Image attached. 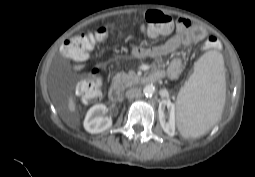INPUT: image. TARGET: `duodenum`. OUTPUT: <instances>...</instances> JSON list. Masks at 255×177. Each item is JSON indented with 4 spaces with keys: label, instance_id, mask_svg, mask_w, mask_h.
<instances>
[{
    "label": "duodenum",
    "instance_id": "1",
    "mask_svg": "<svg viewBox=\"0 0 255 177\" xmlns=\"http://www.w3.org/2000/svg\"><path fill=\"white\" fill-rule=\"evenodd\" d=\"M162 77H163V75L161 72H151V73L145 75L144 77H142L141 81L143 83H156L159 80H161ZM108 95L112 102H118L121 97L120 90L117 86H112L109 89Z\"/></svg>",
    "mask_w": 255,
    "mask_h": 177
}]
</instances>
